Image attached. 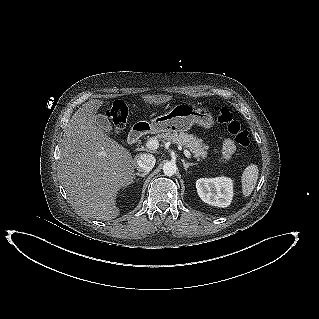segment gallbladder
<instances>
[{"label": "gallbladder", "mask_w": 319, "mask_h": 319, "mask_svg": "<svg viewBox=\"0 0 319 319\" xmlns=\"http://www.w3.org/2000/svg\"><path fill=\"white\" fill-rule=\"evenodd\" d=\"M96 124L101 127L105 132L109 133L112 131V125L109 119L103 115V114H98L96 115Z\"/></svg>", "instance_id": "1"}]
</instances>
